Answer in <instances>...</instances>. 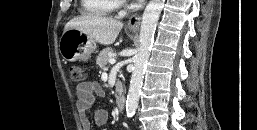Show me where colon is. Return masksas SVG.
Returning <instances> with one entry per match:
<instances>
[{
	"instance_id": "1",
	"label": "colon",
	"mask_w": 257,
	"mask_h": 130,
	"mask_svg": "<svg viewBox=\"0 0 257 130\" xmlns=\"http://www.w3.org/2000/svg\"><path fill=\"white\" fill-rule=\"evenodd\" d=\"M69 73L71 79L75 82H81L85 78V71L79 66H71Z\"/></svg>"
}]
</instances>
